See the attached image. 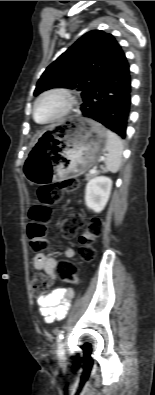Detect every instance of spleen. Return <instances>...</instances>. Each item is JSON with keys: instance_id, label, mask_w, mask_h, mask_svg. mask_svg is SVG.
Returning a JSON list of instances; mask_svg holds the SVG:
<instances>
[{"instance_id": "spleen-1", "label": "spleen", "mask_w": 155, "mask_h": 395, "mask_svg": "<svg viewBox=\"0 0 155 395\" xmlns=\"http://www.w3.org/2000/svg\"><path fill=\"white\" fill-rule=\"evenodd\" d=\"M107 141L105 149L107 155L105 158L106 169L112 173H116L122 162L123 143L119 136L110 130L106 131Z\"/></svg>"}]
</instances>
